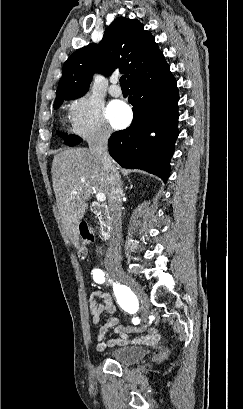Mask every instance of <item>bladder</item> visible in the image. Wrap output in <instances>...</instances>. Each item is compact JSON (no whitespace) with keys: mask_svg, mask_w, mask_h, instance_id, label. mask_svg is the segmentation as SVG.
Listing matches in <instances>:
<instances>
[{"mask_svg":"<svg viewBox=\"0 0 243 409\" xmlns=\"http://www.w3.org/2000/svg\"><path fill=\"white\" fill-rule=\"evenodd\" d=\"M145 356V349L134 345L118 347L112 349L108 353V358L120 365H131L137 363Z\"/></svg>","mask_w":243,"mask_h":409,"instance_id":"bladder-1","label":"bladder"}]
</instances>
